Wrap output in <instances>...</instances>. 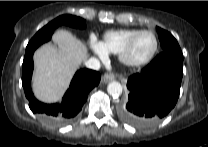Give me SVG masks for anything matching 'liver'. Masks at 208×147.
<instances>
[{
    "label": "liver",
    "mask_w": 208,
    "mask_h": 147,
    "mask_svg": "<svg viewBox=\"0 0 208 147\" xmlns=\"http://www.w3.org/2000/svg\"><path fill=\"white\" fill-rule=\"evenodd\" d=\"M53 41L57 46L44 44L34 54L33 92L47 103L61 99L74 73L88 58L86 45L66 30L56 31Z\"/></svg>",
    "instance_id": "liver-1"
}]
</instances>
